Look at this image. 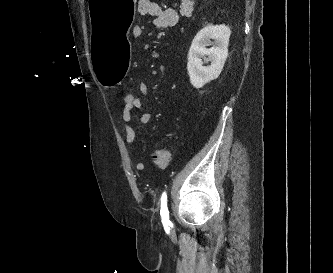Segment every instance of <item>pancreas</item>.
Here are the masks:
<instances>
[{
    "mask_svg": "<svg viewBox=\"0 0 333 273\" xmlns=\"http://www.w3.org/2000/svg\"><path fill=\"white\" fill-rule=\"evenodd\" d=\"M193 0H182L181 6H180V14L182 16L190 17L193 11Z\"/></svg>",
    "mask_w": 333,
    "mask_h": 273,
    "instance_id": "obj_1",
    "label": "pancreas"
}]
</instances>
